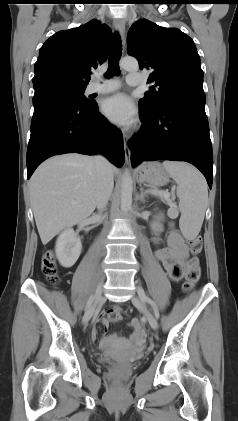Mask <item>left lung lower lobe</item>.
Returning <instances> with one entry per match:
<instances>
[{"label": "left lung lower lobe", "mask_w": 238, "mask_h": 421, "mask_svg": "<svg viewBox=\"0 0 238 421\" xmlns=\"http://www.w3.org/2000/svg\"><path fill=\"white\" fill-rule=\"evenodd\" d=\"M141 128L130 140L133 166L160 159L196 166L212 188L213 152L205 113V93L191 90L164 101L148 113L140 109Z\"/></svg>", "instance_id": "0a47b994"}]
</instances>
